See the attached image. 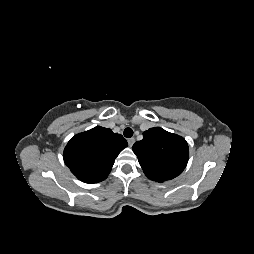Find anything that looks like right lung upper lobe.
<instances>
[{
    "instance_id": "right-lung-upper-lobe-1",
    "label": "right lung upper lobe",
    "mask_w": 254,
    "mask_h": 254,
    "mask_svg": "<svg viewBox=\"0 0 254 254\" xmlns=\"http://www.w3.org/2000/svg\"><path fill=\"white\" fill-rule=\"evenodd\" d=\"M127 147L126 139L111 129L96 126L75 135L63 153L65 164L85 183L107 178L118 154Z\"/></svg>"
}]
</instances>
